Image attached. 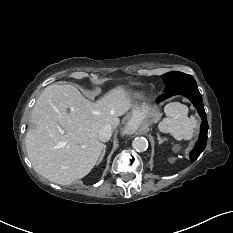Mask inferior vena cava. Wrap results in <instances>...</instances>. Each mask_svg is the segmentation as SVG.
<instances>
[{
    "instance_id": "inferior-vena-cava-1",
    "label": "inferior vena cava",
    "mask_w": 233,
    "mask_h": 233,
    "mask_svg": "<svg viewBox=\"0 0 233 233\" xmlns=\"http://www.w3.org/2000/svg\"><path fill=\"white\" fill-rule=\"evenodd\" d=\"M112 135V128L110 125H105L98 134L99 140L101 142H107Z\"/></svg>"
}]
</instances>
